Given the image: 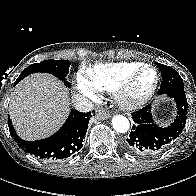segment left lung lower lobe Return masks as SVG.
Here are the masks:
<instances>
[{
    "instance_id": "1",
    "label": "left lung lower lobe",
    "mask_w": 196,
    "mask_h": 196,
    "mask_svg": "<svg viewBox=\"0 0 196 196\" xmlns=\"http://www.w3.org/2000/svg\"><path fill=\"white\" fill-rule=\"evenodd\" d=\"M160 71L164 82L168 83L167 80H169L170 85L177 87L178 83L176 82L174 69L161 68ZM158 94H167L174 100L176 116L169 126L160 127L152 119L151 105L132 113L135 125H133L132 131L125 142V147L140 156H152L162 152L177 139L186 123L188 104L185 92L175 90L170 93H162L159 90Z\"/></svg>"
}]
</instances>
